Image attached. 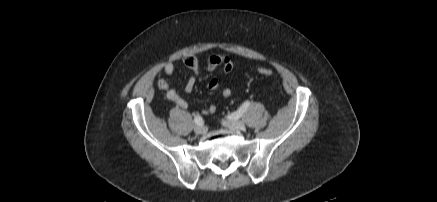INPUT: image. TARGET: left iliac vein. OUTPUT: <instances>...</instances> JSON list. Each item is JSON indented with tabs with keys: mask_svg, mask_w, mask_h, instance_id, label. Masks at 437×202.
Masks as SVG:
<instances>
[{
	"mask_svg": "<svg viewBox=\"0 0 437 202\" xmlns=\"http://www.w3.org/2000/svg\"><path fill=\"white\" fill-rule=\"evenodd\" d=\"M223 125L234 130H244L245 123L241 120H226Z\"/></svg>",
	"mask_w": 437,
	"mask_h": 202,
	"instance_id": "4c4485c4",
	"label": "left iliac vein"
}]
</instances>
